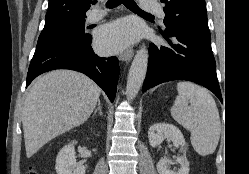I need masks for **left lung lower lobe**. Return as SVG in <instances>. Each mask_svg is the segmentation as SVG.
<instances>
[{
    "label": "left lung lower lobe",
    "mask_w": 249,
    "mask_h": 174,
    "mask_svg": "<svg viewBox=\"0 0 249 174\" xmlns=\"http://www.w3.org/2000/svg\"><path fill=\"white\" fill-rule=\"evenodd\" d=\"M160 34L171 47L150 44L142 91L163 82L187 80L208 88L222 102L210 33L189 31L167 35L160 31Z\"/></svg>",
    "instance_id": "0a47b994"
}]
</instances>
